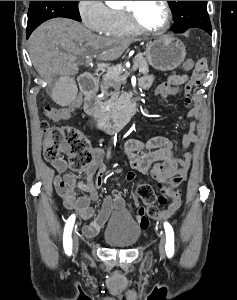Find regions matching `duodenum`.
I'll return each instance as SVG.
<instances>
[{
	"label": "duodenum",
	"mask_w": 237,
	"mask_h": 300,
	"mask_svg": "<svg viewBox=\"0 0 237 300\" xmlns=\"http://www.w3.org/2000/svg\"><path fill=\"white\" fill-rule=\"evenodd\" d=\"M79 85L84 97V108L95 121L98 129L105 134H114L120 131L136 114L139 108V99H130L122 111L110 116L106 114L96 96L97 79L90 73H84L79 79Z\"/></svg>",
	"instance_id": "1"
}]
</instances>
